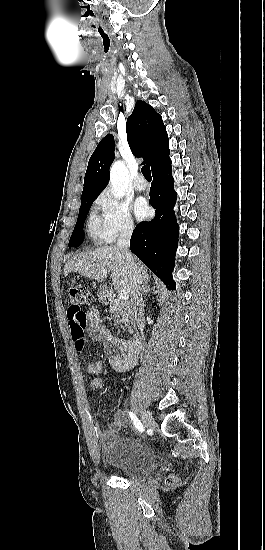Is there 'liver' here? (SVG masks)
Wrapping results in <instances>:
<instances>
[{"instance_id":"obj_1","label":"liver","mask_w":265,"mask_h":550,"mask_svg":"<svg viewBox=\"0 0 265 550\" xmlns=\"http://www.w3.org/2000/svg\"><path fill=\"white\" fill-rule=\"evenodd\" d=\"M134 263L137 269L140 284L149 281L147 267L136 257ZM70 272L102 282L107 274H111L115 289L131 293V276L129 267L118 247L114 245L96 248L93 251L77 254L67 261L64 267V276Z\"/></svg>"}]
</instances>
